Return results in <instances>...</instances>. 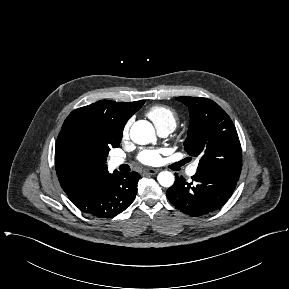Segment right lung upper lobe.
<instances>
[{"label": "right lung upper lobe", "mask_w": 289, "mask_h": 289, "mask_svg": "<svg viewBox=\"0 0 289 289\" xmlns=\"http://www.w3.org/2000/svg\"><path fill=\"white\" fill-rule=\"evenodd\" d=\"M144 103L145 100L130 103L101 100L78 108L69 114L64 121L55 146L57 177L69 198L107 173L108 170L106 161H99L88 167L74 165L62 151L60 140L64 131L72 125H78L113 142L122 137L126 122Z\"/></svg>", "instance_id": "cb5924a9"}]
</instances>
